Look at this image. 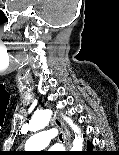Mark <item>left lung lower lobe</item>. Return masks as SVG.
I'll list each match as a JSON object with an SVG mask.
<instances>
[{"label": "left lung lower lobe", "mask_w": 119, "mask_h": 155, "mask_svg": "<svg viewBox=\"0 0 119 155\" xmlns=\"http://www.w3.org/2000/svg\"><path fill=\"white\" fill-rule=\"evenodd\" d=\"M92 147H93L92 143H89V142H88V149H89V150H88L87 152L90 153V152H91L90 150L92 149Z\"/></svg>", "instance_id": "obj_1"}]
</instances>
